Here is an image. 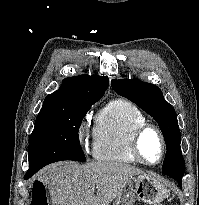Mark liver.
<instances>
[{"label":"liver","mask_w":199,"mask_h":205,"mask_svg":"<svg viewBox=\"0 0 199 205\" xmlns=\"http://www.w3.org/2000/svg\"><path fill=\"white\" fill-rule=\"evenodd\" d=\"M137 175L143 172L125 163L60 162L45 168L39 178L48 186L52 205H109L124 182Z\"/></svg>","instance_id":"liver-1"}]
</instances>
